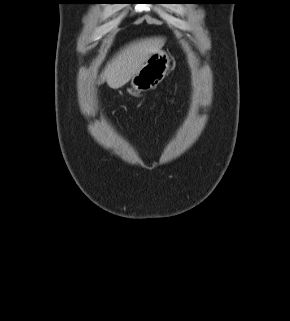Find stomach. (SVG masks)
<instances>
[{"mask_svg":"<svg viewBox=\"0 0 290 321\" xmlns=\"http://www.w3.org/2000/svg\"><path fill=\"white\" fill-rule=\"evenodd\" d=\"M170 59L165 51L153 53L139 71L131 78L132 88L145 92L156 87L166 76Z\"/></svg>","mask_w":290,"mask_h":321,"instance_id":"0dacf381","label":"stomach"}]
</instances>
